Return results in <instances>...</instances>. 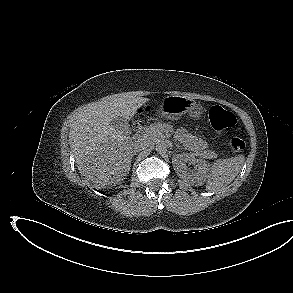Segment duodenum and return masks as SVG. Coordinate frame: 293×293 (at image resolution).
<instances>
[{
  "label": "duodenum",
  "instance_id": "1",
  "mask_svg": "<svg viewBox=\"0 0 293 293\" xmlns=\"http://www.w3.org/2000/svg\"><path fill=\"white\" fill-rule=\"evenodd\" d=\"M144 132H145V124L144 123H139L137 128H136V133L134 135L135 142L139 143V142H141L143 140Z\"/></svg>",
  "mask_w": 293,
  "mask_h": 293
}]
</instances>
